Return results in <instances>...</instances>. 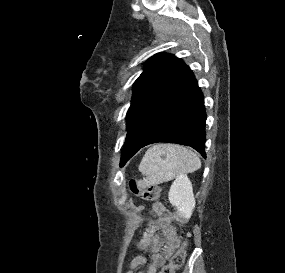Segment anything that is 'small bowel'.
<instances>
[{"mask_svg":"<svg viewBox=\"0 0 285 273\" xmlns=\"http://www.w3.org/2000/svg\"><path fill=\"white\" fill-rule=\"evenodd\" d=\"M151 210L157 218L149 222L137 242V248L139 250H151L152 261L148 265L146 273H157L158 268L166 262L177 247L178 239L171 227L172 217L165 206L161 202H155ZM160 229L163 230L162 237L156 235V232ZM145 263V258L141 255H137L131 262V270L127 273H134V269Z\"/></svg>","mask_w":285,"mask_h":273,"instance_id":"small-bowel-1","label":"small bowel"}]
</instances>
